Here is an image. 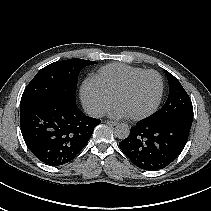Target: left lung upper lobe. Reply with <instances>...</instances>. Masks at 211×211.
<instances>
[{
  "label": "left lung upper lobe",
  "instance_id": "obj_1",
  "mask_svg": "<svg viewBox=\"0 0 211 211\" xmlns=\"http://www.w3.org/2000/svg\"><path fill=\"white\" fill-rule=\"evenodd\" d=\"M169 81L168 99L158 112L148 118L150 121H178L191 126L193 106L191 99L176 77L164 69Z\"/></svg>",
  "mask_w": 211,
  "mask_h": 211
}]
</instances>
